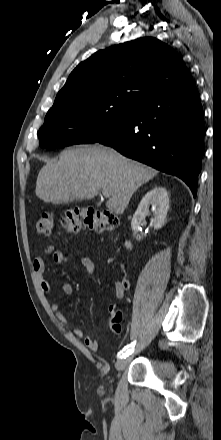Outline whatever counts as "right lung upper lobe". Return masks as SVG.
Segmentation results:
<instances>
[{
	"label": "right lung upper lobe",
	"mask_w": 221,
	"mask_h": 440,
	"mask_svg": "<svg viewBox=\"0 0 221 440\" xmlns=\"http://www.w3.org/2000/svg\"><path fill=\"white\" fill-rule=\"evenodd\" d=\"M191 83L178 53L153 37H143L94 53L69 75L50 110L74 104L142 102Z\"/></svg>",
	"instance_id": "right-lung-upper-lobe-1"
}]
</instances>
